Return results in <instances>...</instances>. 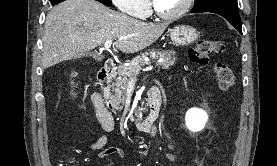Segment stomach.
I'll return each instance as SVG.
<instances>
[{"mask_svg": "<svg viewBox=\"0 0 277 166\" xmlns=\"http://www.w3.org/2000/svg\"><path fill=\"white\" fill-rule=\"evenodd\" d=\"M197 30L190 25H178L172 29L170 37L172 42L178 46H188L198 39Z\"/></svg>", "mask_w": 277, "mask_h": 166, "instance_id": "1", "label": "stomach"}]
</instances>
